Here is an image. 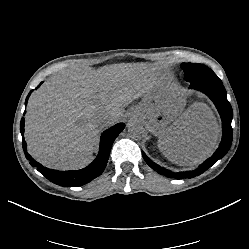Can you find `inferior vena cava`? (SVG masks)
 Segmentation results:
<instances>
[{
    "label": "inferior vena cava",
    "instance_id": "inferior-vena-cava-1",
    "mask_svg": "<svg viewBox=\"0 0 249 249\" xmlns=\"http://www.w3.org/2000/svg\"><path fill=\"white\" fill-rule=\"evenodd\" d=\"M111 120H112L111 117L106 115V114H103V115L99 116L98 119H97L99 128L103 129V128L109 126V123H110ZM139 126L143 127L141 124H138V125H135V128H137Z\"/></svg>",
    "mask_w": 249,
    "mask_h": 249
}]
</instances>
